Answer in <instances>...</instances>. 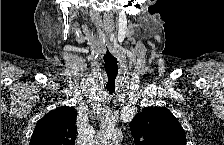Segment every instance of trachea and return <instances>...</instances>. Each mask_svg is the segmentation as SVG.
<instances>
[{
	"label": "trachea",
	"mask_w": 224,
	"mask_h": 145,
	"mask_svg": "<svg viewBox=\"0 0 224 145\" xmlns=\"http://www.w3.org/2000/svg\"><path fill=\"white\" fill-rule=\"evenodd\" d=\"M104 70L106 78V90L113 94L115 92V81L118 75L117 59L110 55L107 59H104Z\"/></svg>",
	"instance_id": "3493384b"
}]
</instances>
